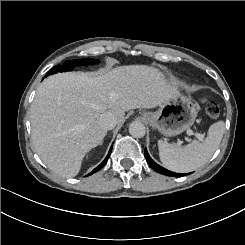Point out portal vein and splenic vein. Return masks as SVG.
Listing matches in <instances>:
<instances>
[{
	"label": "portal vein and splenic vein",
	"mask_w": 245,
	"mask_h": 245,
	"mask_svg": "<svg viewBox=\"0 0 245 245\" xmlns=\"http://www.w3.org/2000/svg\"><path fill=\"white\" fill-rule=\"evenodd\" d=\"M187 134L193 137L196 136L200 141H203V138L205 136L204 134L196 133V131L191 129L187 131Z\"/></svg>",
	"instance_id": "portal-vein-and-splenic-vein-1"
}]
</instances>
